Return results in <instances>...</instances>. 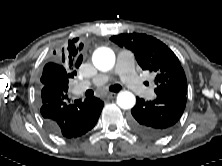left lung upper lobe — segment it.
I'll return each instance as SVG.
<instances>
[{
	"label": "left lung upper lobe",
	"mask_w": 222,
	"mask_h": 166,
	"mask_svg": "<svg viewBox=\"0 0 222 166\" xmlns=\"http://www.w3.org/2000/svg\"><path fill=\"white\" fill-rule=\"evenodd\" d=\"M111 40L120 47L131 50L143 70L152 72L157 88L187 93V80L176 55L161 41L146 34H120Z\"/></svg>",
	"instance_id": "5c2ea615"
}]
</instances>
